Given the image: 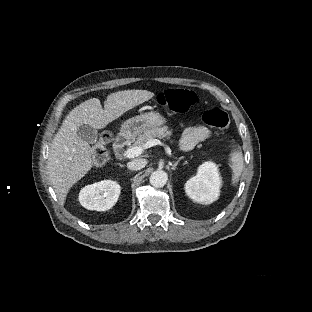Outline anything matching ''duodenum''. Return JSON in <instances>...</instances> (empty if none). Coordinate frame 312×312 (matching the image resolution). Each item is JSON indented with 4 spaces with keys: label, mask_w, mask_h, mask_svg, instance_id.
<instances>
[{
    "label": "duodenum",
    "mask_w": 312,
    "mask_h": 312,
    "mask_svg": "<svg viewBox=\"0 0 312 312\" xmlns=\"http://www.w3.org/2000/svg\"><path fill=\"white\" fill-rule=\"evenodd\" d=\"M132 138L133 133L127 130L117 135L114 146V154L117 159H122L124 157L125 148Z\"/></svg>",
    "instance_id": "1"
}]
</instances>
